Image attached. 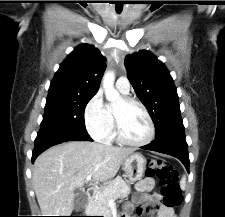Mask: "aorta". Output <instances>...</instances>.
I'll list each match as a JSON object with an SVG mask.
<instances>
[{
  "mask_svg": "<svg viewBox=\"0 0 225 217\" xmlns=\"http://www.w3.org/2000/svg\"><path fill=\"white\" fill-rule=\"evenodd\" d=\"M115 73L108 71L103 76V88L105 91L106 99L112 104H119L122 98L119 92L114 88Z\"/></svg>",
  "mask_w": 225,
  "mask_h": 217,
  "instance_id": "obj_1",
  "label": "aorta"
}]
</instances>
